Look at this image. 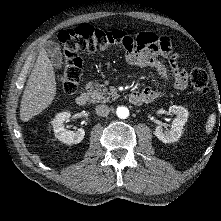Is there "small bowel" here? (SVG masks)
Returning <instances> with one entry per match:
<instances>
[{
    "mask_svg": "<svg viewBox=\"0 0 221 221\" xmlns=\"http://www.w3.org/2000/svg\"><path fill=\"white\" fill-rule=\"evenodd\" d=\"M124 49L125 58L129 64L154 69L159 75L170 80L177 90L186 88V72L179 66L177 56L172 53L168 37L158 36L153 32H141ZM158 56L169 59L170 70L158 59ZM139 92L145 97L146 102L153 101L162 94L150 88Z\"/></svg>",
    "mask_w": 221,
    "mask_h": 221,
    "instance_id": "small-bowel-1",
    "label": "small bowel"
}]
</instances>
